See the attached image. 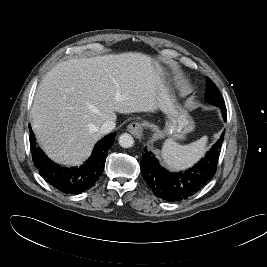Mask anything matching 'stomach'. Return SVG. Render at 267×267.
<instances>
[{
    "label": "stomach",
    "mask_w": 267,
    "mask_h": 267,
    "mask_svg": "<svg viewBox=\"0 0 267 267\" xmlns=\"http://www.w3.org/2000/svg\"><path fill=\"white\" fill-rule=\"evenodd\" d=\"M153 62L160 77V85L157 90L159 109L168 118L163 129V134L170 136L171 139H182L187 133L194 130V121L188 112L179 105L175 94L168 86L166 81L167 70L158 62Z\"/></svg>",
    "instance_id": "1"
}]
</instances>
